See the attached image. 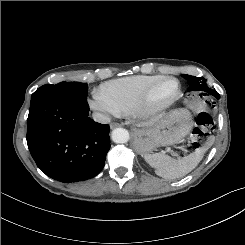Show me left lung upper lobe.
<instances>
[{
	"instance_id": "5c2ea615",
	"label": "left lung upper lobe",
	"mask_w": 245,
	"mask_h": 245,
	"mask_svg": "<svg viewBox=\"0 0 245 245\" xmlns=\"http://www.w3.org/2000/svg\"><path fill=\"white\" fill-rule=\"evenodd\" d=\"M183 78L189 80L190 83V91H202V92H206L209 93L211 95H213V92H216L212 89H210L207 84H206V80L203 79L201 77H195V76H191V75H182Z\"/></svg>"
}]
</instances>
